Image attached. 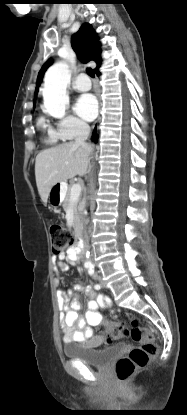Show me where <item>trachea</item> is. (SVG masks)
<instances>
[{"instance_id": "1", "label": "trachea", "mask_w": 187, "mask_h": 415, "mask_svg": "<svg viewBox=\"0 0 187 415\" xmlns=\"http://www.w3.org/2000/svg\"><path fill=\"white\" fill-rule=\"evenodd\" d=\"M86 72L90 77H94V73H93V70L91 68H87Z\"/></svg>"}]
</instances>
